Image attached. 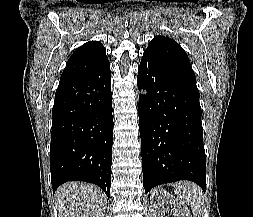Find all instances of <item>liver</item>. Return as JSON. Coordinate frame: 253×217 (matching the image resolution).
I'll return each instance as SVG.
<instances>
[{
	"instance_id": "6515ba94",
	"label": "liver",
	"mask_w": 253,
	"mask_h": 217,
	"mask_svg": "<svg viewBox=\"0 0 253 217\" xmlns=\"http://www.w3.org/2000/svg\"><path fill=\"white\" fill-rule=\"evenodd\" d=\"M59 217H104L106 196L95 185L68 182L56 193Z\"/></svg>"
}]
</instances>
